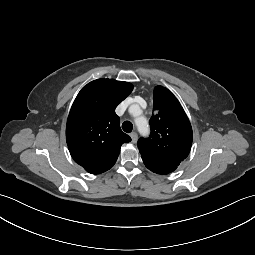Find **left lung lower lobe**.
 Listing matches in <instances>:
<instances>
[{"mask_svg": "<svg viewBox=\"0 0 255 255\" xmlns=\"http://www.w3.org/2000/svg\"><path fill=\"white\" fill-rule=\"evenodd\" d=\"M146 167L149 170H151L152 172L157 173V174H169V173L174 171V170L157 169V168H152V167H149V166H146Z\"/></svg>", "mask_w": 255, "mask_h": 255, "instance_id": "left-lung-lower-lobe-1", "label": "left lung lower lobe"}]
</instances>
